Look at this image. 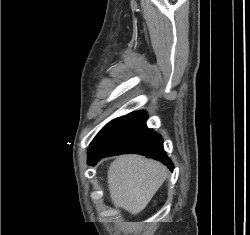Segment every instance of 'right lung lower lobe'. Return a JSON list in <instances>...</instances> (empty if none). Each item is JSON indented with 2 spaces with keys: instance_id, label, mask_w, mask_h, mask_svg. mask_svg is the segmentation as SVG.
I'll return each mask as SVG.
<instances>
[{
  "instance_id": "98d812e1",
  "label": "right lung lower lobe",
  "mask_w": 250,
  "mask_h": 235,
  "mask_svg": "<svg viewBox=\"0 0 250 235\" xmlns=\"http://www.w3.org/2000/svg\"><path fill=\"white\" fill-rule=\"evenodd\" d=\"M146 119L145 111H136L108 123L90 144L89 165L107 156L134 153L159 160L173 170V163L163 149L162 137L147 128Z\"/></svg>"
}]
</instances>
